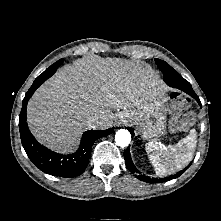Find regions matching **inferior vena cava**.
Wrapping results in <instances>:
<instances>
[{
	"label": "inferior vena cava",
	"instance_id": "obj_1",
	"mask_svg": "<svg viewBox=\"0 0 221 221\" xmlns=\"http://www.w3.org/2000/svg\"><path fill=\"white\" fill-rule=\"evenodd\" d=\"M99 118L96 115H92L87 119L88 124H94L98 122Z\"/></svg>",
	"mask_w": 221,
	"mask_h": 221
}]
</instances>
